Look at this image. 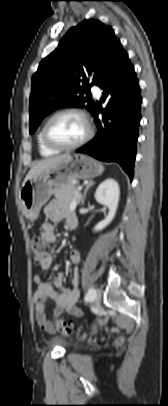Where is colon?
Masks as SVG:
<instances>
[{
  "instance_id": "1",
  "label": "colon",
  "mask_w": 168,
  "mask_h": 406,
  "mask_svg": "<svg viewBox=\"0 0 168 406\" xmlns=\"http://www.w3.org/2000/svg\"><path fill=\"white\" fill-rule=\"evenodd\" d=\"M31 248L33 252L34 262L37 264L44 263L52 254L53 247L50 243L44 241L41 237H33L31 240ZM53 326L60 332L71 334L74 332L73 326L70 322L63 318L53 320ZM95 341H100V337H93ZM123 340L121 338L116 340V345L121 346Z\"/></svg>"
}]
</instances>
